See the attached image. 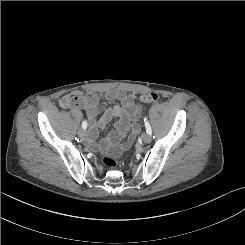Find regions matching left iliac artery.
Returning <instances> with one entry per match:
<instances>
[{
    "label": "left iliac artery",
    "mask_w": 245,
    "mask_h": 245,
    "mask_svg": "<svg viewBox=\"0 0 245 245\" xmlns=\"http://www.w3.org/2000/svg\"><path fill=\"white\" fill-rule=\"evenodd\" d=\"M144 122H145L146 132L151 135L152 134V129L150 127V124H149L148 120H146V118L144 119Z\"/></svg>",
    "instance_id": "44dca946"
}]
</instances>
